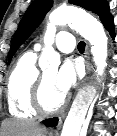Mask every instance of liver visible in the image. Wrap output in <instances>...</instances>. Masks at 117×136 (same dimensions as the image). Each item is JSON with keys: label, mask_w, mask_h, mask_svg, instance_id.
<instances>
[{"label": "liver", "mask_w": 117, "mask_h": 136, "mask_svg": "<svg viewBox=\"0 0 117 136\" xmlns=\"http://www.w3.org/2000/svg\"><path fill=\"white\" fill-rule=\"evenodd\" d=\"M3 136H46L45 128L31 121L9 120L3 123Z\"/></svg>", "instance_id": "6515ba94"}]
</instances>
